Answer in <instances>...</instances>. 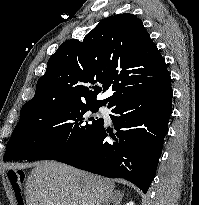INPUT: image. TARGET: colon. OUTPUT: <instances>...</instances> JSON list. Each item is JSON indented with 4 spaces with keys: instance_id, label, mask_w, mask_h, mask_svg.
<instances>
[{
    "instance_id": "obj_1",
    "label": "colon",
    "mask_w": 199,
    "mask_h": 205,
    "mask_svg": "<svg viewBox=\"0 0 199 205\" xmlns=\"http://www.w3.org/2000/svg\"><path fill=\"white\" fill-rule=\"evenodd\" d=\"M9 179L15 193H21L24 173L22 171H13L9 174Z\"/></svg>"
}]
</instances>
